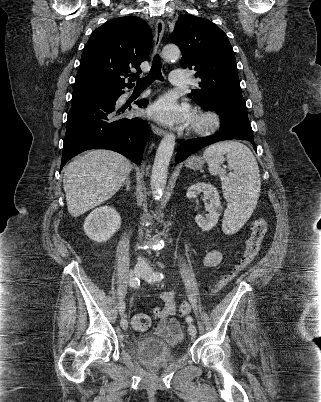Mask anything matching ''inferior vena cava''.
<instances>
[{
	"label": "inferior vena cava",
	"mask_w": 321,
	"mask_h": 402,
	"mask_svg": "<svg viewBox=\"0 0 321 402\" xmlns=\"http://www.w3.org/2000/svg\"><path fill=\"white\" fill-rule=\"evenodd\" d=\"M137 266H138V267H146L147 264H146V262H145V260H144L143 258H140V259L138 260V262H137Z\"/></svg>",
	"instance_id": "inferior-vena-cava-1"
}]
</instances>
